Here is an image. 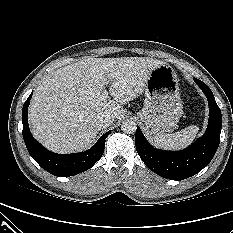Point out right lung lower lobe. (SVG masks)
I'll list each match as a JSON object with an SVG mask.
<instances>
[{
	"label": "right lung lower lobe",
	"instance_id": "98d812e1",
	"mask_svg": "<svg viewBox=\"0 0 233 233\" xmlns=\"http://www.w3.org/2000/svg\"><path fill=\"white\" fill-rule=\"evenodd\" d=\"M32 93L22 110L23 139L29 154L43 169L59 177L73 176L91 168L101 158L105 149V139L110 131L103 134L92 148L84 152L73 154L50 152L33 138L28 127L27 112Z\"/></svg>",
	"mask_w": 233,
	"mask_h": 233
}]
</instances>
